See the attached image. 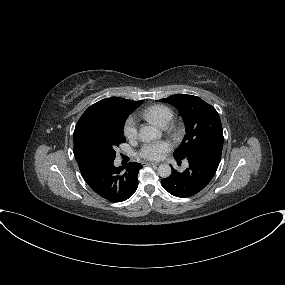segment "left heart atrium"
<instances>
[{
	"mask_svg": "<svg viewBox=\"0 0 285 285\" xmlns=\"http://www.w3.org/2000/svg\"><path fill=\"white\" fill-rule=\"evenodd\" d=\"M170 148L171 145L166 141L148 142L142 147L140 156L148 160H159Z\"/></svg>",
	"mask_w": 285,
	"mask_h": 285,
	"instance_id": "1",
	"label": "left heart atrium"
}]
</instances>
